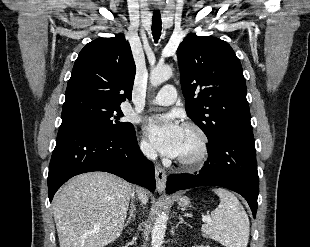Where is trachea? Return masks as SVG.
Wrapping results in <instances>:
<instances>
[{
	"label": "trachea",
	"instance_id": "obj_1",
	"mask_svg": "<svg viewBox=\"0 0 310 247\" xmlns=\"http://www.w3.org/2000/svg\"><path fill=\"white\" fill-rule=\"evenodd\" d=\"M152 35L155 42H157L161 36L162 21L159 12H154L152 17Z\"/></svg>",
	"mask_w": 310,
	"mask_h": 247
}]
</instances>
